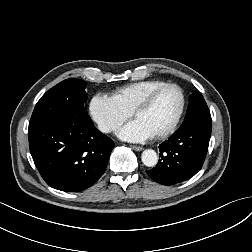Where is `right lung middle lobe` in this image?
Returning <instances> with one entry per match:
<instances>
[{
  "mask_svg": "<svg viewBox=\"0 0 252 252\" xmlns=\"http://www.w3.org/2000/svg\"><path fill=\"white\" fill-rule=\"evenodd\" d=\"M86 82L66 79L49 91L37 102L29 125L60 116H76L90 119L84 103L87 100Z\"/></svg>",
  "mask_w": 252,
  "mask_h": 252,
  "instance_id": "1",
  "label": "right lung middle lobe"
}]
</instances>
